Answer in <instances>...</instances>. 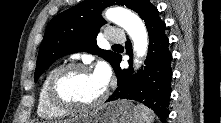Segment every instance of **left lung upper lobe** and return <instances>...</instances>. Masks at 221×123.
I'll use <instances>...</instances> for the list:
<instances>
[{"mask_svg": "<svg viewBox=\"0 0 221 123\" xmlns=\"http://www.w3.org/2000/svg\"><path fill=\"white\" fill-rule=\"evenodd\" d=\"M148 0H84L55 16L48 24L37 58L35 81L57 59L79 51L98 55L111 65L119 56L100 49L96 36L106 21L101 12L111 5L126 6L140 14Z\"/></svg>", "mask_w": 221, "mask_h": 123, "instance_id": "obj_1", "label": "left lung upper lobe"}]
</instances>
